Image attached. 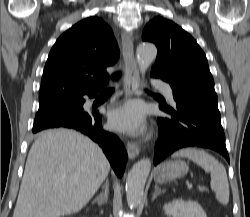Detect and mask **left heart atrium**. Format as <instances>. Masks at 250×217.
I'll return each mask as SVG.
<instances>
[{"label":"left heart atrium","instance_id":"39dd6f15","mask_svg":"<svg viewBox=\"0 0 250 217\" xmlns=\"http://www.w3.org/2000/svg\"><path fill=\"white\" fill-rule=\"evenodd\" d=\"M109 124L114 130L128 134H140L145 128L142 110L134 103L110 112Z\"/></svg>","mask_w":250,"mask_h":217}]
</instances>
